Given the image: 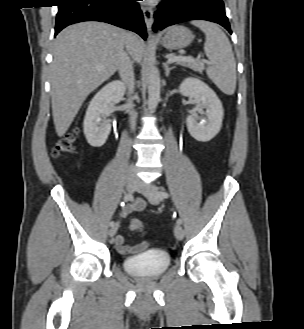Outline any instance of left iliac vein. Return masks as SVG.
I'll return each instance as SVG.
<instances>
[{
	"label": "left iliac vein",
	"mask_w": 304,
	"mask_h": 329,
	"mask_svg": "<svg viewBox=\"0 0 304 329\" xmlns=\"http://www.w3.org/2000/svg\"><path fill=\"white\" fill-rule=\"evenodd\" d=\"M137 191L144 194L149 202L153 205H158L162 200L161 196L159 195L158 187L154 185H145L142 182H139ZM174 234L178 240H182L184 238L183 228L177 224L174 228Z\"/></svg>",
	"instance_id": "4c4485c4"
}]
</instances>
